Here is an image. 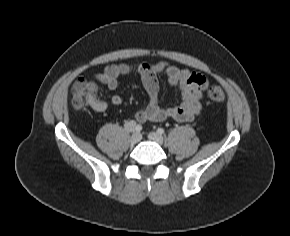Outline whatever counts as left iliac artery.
Masks as SVG:
<instances>
[{"label":"left iliac artery","mask_w":290,"mask_h":236,"mask_svg":"<svg viewBox=\"0 0 290 236\" xmlns=\"http://www.w3.org/2000/svg\"><path fill=\"white\" fill-rule=\"evenodd\" d=\"M157 132H158L159 134H164L165 131H164L163 128H158V129H157Z\"/></svg>","instance_id":"obj_1"}]
</instances>
